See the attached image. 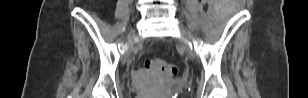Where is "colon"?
Listing matches in <instances>:
<instances>
[{
  "label": "colon",
  "mask_w": 308,
  "mask_h": 98,
  "mask_svg": "<svg viewBox=\"0 0 308 98\" xmlns=\"http://www.w3.org/2000/svg\"><path fill=\"white\" fill-rule=\"evenodd\" d=\"M144 66L148 70L163 73L168 77H175L178 72L176 65L159 58L146 60Z\"/></svg>",
  "instance_id": "1"
}]
</instances>
